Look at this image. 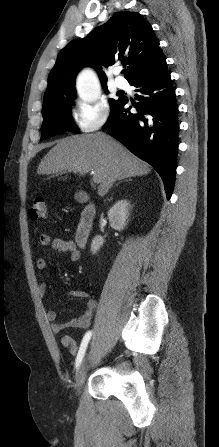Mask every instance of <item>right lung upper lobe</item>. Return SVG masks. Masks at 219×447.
Here are the masks:
<instances>
[{
    "label": "right lung upper lobe",
    "mask_w": 219,
    "mask_h": 447,
    "mask_svg": "<svg viewBox=\"0 0 219 447\" xmlns=\"http://www.w3.org/2000/svg\"><path fill=\"white\" fill-rule=\"evenodd\" d=\"M165 60L149 22L137 12H119L85 38L71 41L60 51L50 72L44 99L75 95L76 75L86 66L97 71L104 86L107 77L101 66L120 61L128 65L125 78L132 84L155 71Z\"/></svg>",
    "instance_id": "obj_1"
}]
</instances>
